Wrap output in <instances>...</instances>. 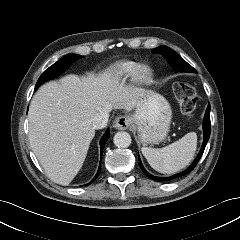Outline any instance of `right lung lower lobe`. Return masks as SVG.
Instances as JSON below:
<instances>
[{"label": "right lung lower lobe", "instance_id": "98d812e1", "mask_svg": "<svg viewBox=\"0 0 240 240\" xmlns=\"http://www.w3.org/2000/svg\"><path fill=\"white\" fill-rule=\"evenodd\" d=\"M109 136H110V132H109V129H107V131L105 132V134L103 135V137L100 141L101 153H102L103 147H104L106 141L108 140ZM100 170H101V166H99L97 174L95 175V177L93 178V180L90 183H92L98 177ZM90 183H88L87 185H89Z\"/></svg>", "mask_w": 240, "mask_h": 240}]
</instances>
